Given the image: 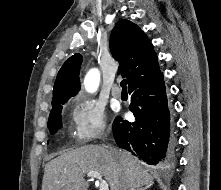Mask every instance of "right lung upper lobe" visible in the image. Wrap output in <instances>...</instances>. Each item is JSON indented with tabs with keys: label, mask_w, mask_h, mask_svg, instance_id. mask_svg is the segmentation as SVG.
<instances>
[{
	"label": "right lung upper lobe",
	"mask_w": 221,
	"mask_h": 190,
	"mask_svg": "<svg viewBox=\"0 0 221 190\" xmlns=\"http://www.w3.org/2000/svg\"><path fill=\"white\" fill-rule=\"evenodd\" d=\"M110 49L120 62L118 73L127 77L129 88L152 80L160 73L152 43L137 25L128 20L116 23L111 32ZM81 63L82 56L76 53L63 64L54 83L52 104L77 94Z\"/></svg>",
	"instance_id": "1"
}]
</instances>
